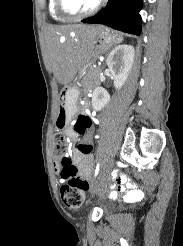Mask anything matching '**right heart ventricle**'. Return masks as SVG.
Returning a JSON list of instances; mask_svg holds the SVG:
<instances>
[{"label":"right heart ventricle","instance_id":"e07e8e85","mask_svg":"<svg viewBox=\"0 0 183 246\" xmlns=\"http://www.w3.org/2000/svg\"><path fill=\"white\" fill-rule=\"evenodd\" d=\"M48 9L50 16L56 20V21H64L65 18L59 15V13L56 10L55 0H49L48 1Z\"/></svg>","mask_w":183,"mask_h":246}]
</instances>
